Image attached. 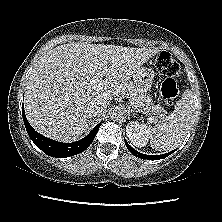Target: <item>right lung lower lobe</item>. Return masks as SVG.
<instances>
[{
	"label": "right lung lower lobe",
	"mask_w": 222,
	"mask_h": 222,
	"mask_svg": "<svg viewBox=\"0 0 222 222\" xmlns=\"http://www.w3.org/2000/svg\"><path fill=\"white\" fill-rule=\"evenodd\" d=\"M22 116H23V121H24L26 130L28 132V135L31 138V140L34 142V144L47 155L56 157V158L69 157V156H73L84 151L86 148L89 147V145L94 140L98 132V129L101 125V123L96 125L86 137H84L83 139L77 142L61 143V142L49 139L39 134L37 131H35L31 127V125L29 124L26 118L24 108H22Z\"/></svg>",
	"instance_id": "1"
}]
</instances>
